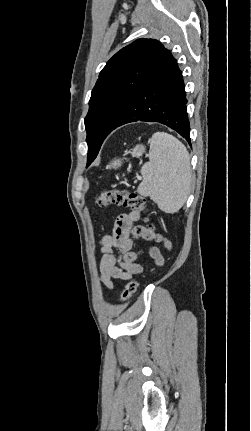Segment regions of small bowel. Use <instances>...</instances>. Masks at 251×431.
Instances as JSON below:
<instances>
[{"label": "small bowel", "instance_id": "1", "mask_svg": "<svg viewBox=\"0 0 251 431\" xmlns=\"http://www.w3.org/2000/svg\"><path fill=\"white\" fill-rule=\"evenodd\" d=\"M139 219L140 213L136 211L120 214L112 234L104 235L100 240L102 258L99 278L109 289L114 288L113 279L128 280L142 271V266L136 262L141 252L133 251V239L162 242L165 248H171V242L162 235L136 225ZM149 255L158 266L164 264V258L157 247H151Z\"/></svg>", "mask_w": 251, "mask_h": 431}]
</instances>
